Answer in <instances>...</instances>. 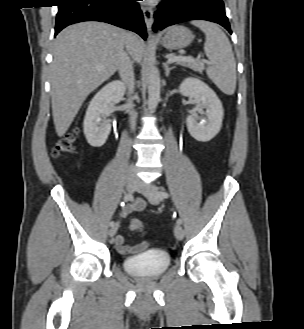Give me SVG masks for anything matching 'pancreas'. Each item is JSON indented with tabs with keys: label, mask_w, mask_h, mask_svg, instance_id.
Masks as SVG:
<instances>
[{
	"label": "pancreas",
	"mask_w": 304,
	"mask_h": 329,
	"mask_svg": "<svg viewBox=\"0 0 304 329\" xmlns=\"http://www.w3.org/2000/svg\"><path fill=\"white\" fill-rule=\"evenodd\" d=\"M177 64L190 68L196 72L202 73V70L204 69V64L201 62H184V61H179Z\"/></svg>",
	"instance_id": "pancreas-1"
}]
</instances>
